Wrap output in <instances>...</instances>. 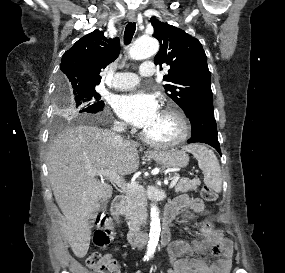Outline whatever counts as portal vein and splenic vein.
Here are the masks:
<instances>
[{"label": "portal vein and splenic vein", "instance_id": "portal-vein-and-splenic-vein-1", "mask_svg": "<svg viewBox=\"0 0 285 273\" xmlns=\"http://www.w3.org/2000/svg\"><path fill=\"white\" fill-rule=\"evenodd\" d=\"M94 175H98V176H101V177H107L109 178L112 182L116 183L118 186L122 187L123 189H126V190H133V189H137V188H143L142 186H138V185H125L122 178L119 176L118 173L114 172V171H109V170H106V171H98V172H95ZM179 180V176H175L171 183H170V186L169 188H173L177 181Z\"/></svg>", "mask_w": 285, "mask_h": 273}]
</instances>
